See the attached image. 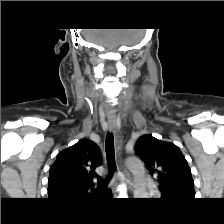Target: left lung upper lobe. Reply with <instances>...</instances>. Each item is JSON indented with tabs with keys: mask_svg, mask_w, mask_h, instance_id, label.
<instances>
[{
	"mask_svg": "<svg viewBox=\"0 0 224 224\" xmlns=\"http://www.w3.org/2000/svg\"><path fill=\"white\" fill-rule=\"evenodd\" d=\"M135 151L147 169L157 175L163 195L186 197L183 199L194 198L191 171L177 146L160 141L151 135H144L137 140Z\"/></svg>",
	"mask_w": 224,
	"mask_h": 224,
	"instance_id": "left-lung-upper-lobe-1",
	"label": "left lung upper lobe"
}]
</instances>
